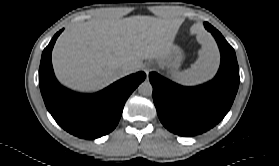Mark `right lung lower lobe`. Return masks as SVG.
Here are the masks:
<instances>
[{
  "mask_svg": "<svg viewBox=\"0 0 279 166\" xmlns=\"http://www.w3.org/2000/svg\"><path fill=\"white\" fill-rule=\"evenodd\" d=\"M57 32L43 50L39 67L40 90L47 110L67 132L84 139L110 133L118 124L130 94L145 79L144 72L129 75L95 94L83 95L62 87L55 78L51 53Z\"/></svg>",
  "mask_w": 279,
  "mask_h": 166,
  "instance_id": "1",
  "label": "right lung lower lobe"
}]
</instances>
